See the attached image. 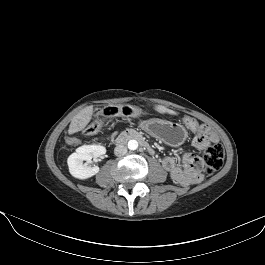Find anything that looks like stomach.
Returning <instances> with one entry per match:
<instances>
[{"label":"stomach","mask_w":265,"mask_h":265,"mask_svg":"<svg viewBox=\"0 0 265 265\" xmlns=\"http://www.w3.org/2000/svg\"><path fill=\"white\" fill-rule=\"evenodd\" d=\"M143 128L154 138L173 147L183 144L188 136L182 125L157 118L146 120Z\"/></svg>","instance_id":"obj_1"}]
</instances>
